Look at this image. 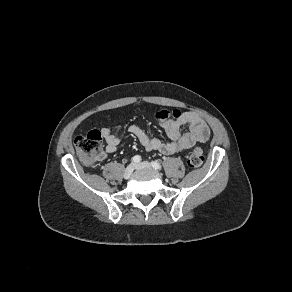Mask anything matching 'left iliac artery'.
Returning a JSON list of instances; mask_svg holds the SVG:
<instances>
[{"mask_svg":"<svg viewBox=\"0 0 292 292\" xmlns=\"http://www.w3.org/2000/svg\"><path fill=\"white\" fill-rule=\"evenodd\" d=\"M151 165H152L153 168H155L157 170H161L162 169L161 165L156 161H152Z\"/></svg>","mask_w":292,"mask_h":292,"instance_id":"obj_1","label":"left iliac artery"}]
</instances>
